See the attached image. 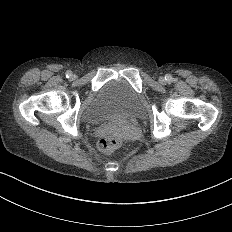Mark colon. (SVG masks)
<instances>
[{
	"label": "colon",
	"instance_id": "colon-1",
	"mask_svg": "<svg viewBox=\"0 0 232 232\" xmlns=\"http://www.w3.org/2000/svg\"><path fill=\"white\" fill-rule=\"evenodd\" d=\"M104 137L100 141V149L104 153H111L115 149V141L121 140L126 134L125 125L119 120L110 121L105 127Z\"/></svg>",
	"mask_w": 232,
	"mask_h": 232
}]
</instances>
